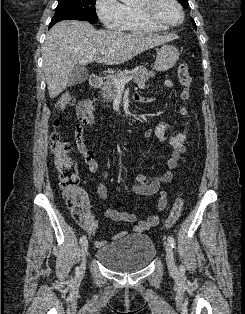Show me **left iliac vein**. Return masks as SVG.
Returning <instances> with one entry per match:
<instances>
[{
    "label": "left iliac vein",
    "mask_w": 245,
    "mask_h": 314,
    "mask_svg": "<svg viewBox=\"0 0 245 314\" xmlns=\"http://www.w3.org/2000/svg\"><path fill=\"white\" fill-rule=\"evenodd\" d=\"M165 250H166V262L168 265V269L171 273H176L177 267L174 261L172 246L169 242H165Z\"/></svg>",
    "instance_id": "left-iliac-vein-1"
}]
</instances>
